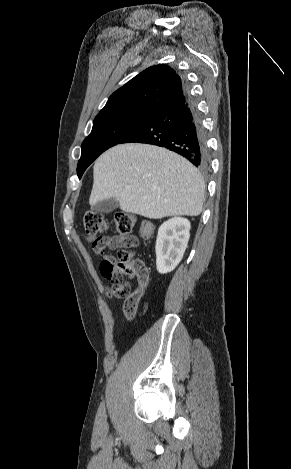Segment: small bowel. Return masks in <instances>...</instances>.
I'll use <instances>...</instances> for the list:
<instances>
[{
    "label": "small bowel",
    "instance_id": "1",
    "mask_svg": "<svg viewBox=\"0 0 291 469\" xmlns=\"http://www.w3.org/2000/svg\"><path fill=\"white\" fill-rule=\"evenodd\" d=\"M133 240L135 241L134 238H133ZM147 282H148V276L146 275L143 279H141V280L139 281L140 287L144 289V288L146 287V285H147Z\"/></svg>",
    "mask_w": 291,
    "mask_h": 469
}]
</instances>
